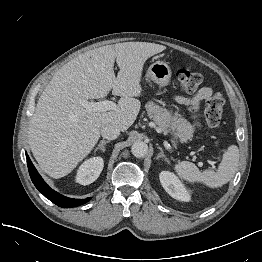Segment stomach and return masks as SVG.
Wrapping results in <instances>:
<instances>
[{"label":"stomach","mask_w":262,"mask_h":262,"mask_svg":"<svg viewBox=\"0 0 262 262\" xmlns=\"http://www.w3.org/2000/svg\"><path fill=\"white\" fill-rule=\"evenodd\" d=\"M171 69L169 65L163 61H156L153 63L147 70L145 77L146 80L153 81L161 87L167 86L171 79ZM181 117V115H178ZM182 119V118H179ZM190 130L180 131L178 127H171L172 142L176 144L179 141V138L182 137V134H190Z\"/></svg>","instance_id":"stomach-1"}]
</instances>
